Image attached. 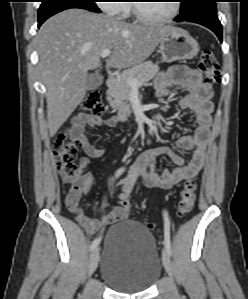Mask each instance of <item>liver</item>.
I'll return each instance as SVG.
<instances>
[{"instance_id": "6515ba94", "label": "liver", "mask_w": 248, "mask_h": 299, "mask_svg": "<svg viewBox=\"0 0 248 299\" xmlns=\"http://www.w3.org/2000/svg\"><path fill=\"white\" fill-rule=\"evenodd\" d=\"M171 28L129 24L79 8L49 18L36 41L50 137L83 101L88 71L101 66L103 50H112L109 66L129 68L146 60Z\"/></svg>"}]
</instances>
